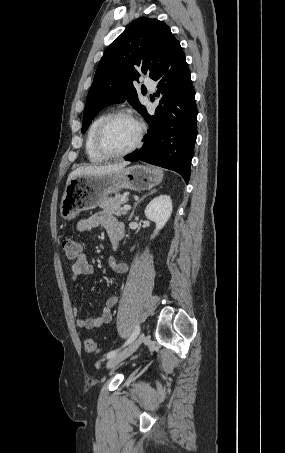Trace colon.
<instances>
[{
	"label": "colon",
	"instance_id": "colon-1",
	"mask_svg": "<svg viewBox=\"0 0 285 453\" xmlns=\"http://www.w3.org/2000/svg\"><path fill=\"white\" fill-rule=\"evenodd\" d=\"M62 248L69 260H76L81 255L83 246L77 238L68 236L64 238ZM84 347L88 353H96L98 351L97 344L91 338L85 339Z\"/></svg>",
	"mask_w": 285,
	"mask_h": 453
}]
</instances>
